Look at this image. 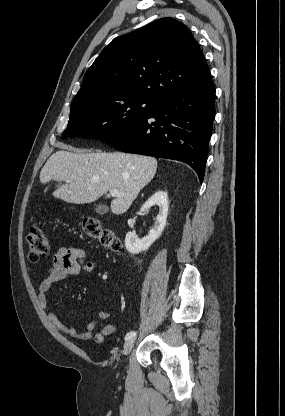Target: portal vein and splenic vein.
Wrapping results in <instances>:
<instances>
[{
	"label": "portal vein and splenic vein",
	"mask_w": 285,
	"mask_h": 416,
	"mask_svg": "<svg viewBox=\"0 0 285 416\" xmlns=\"http://www.w3.org/2000/svg\"><path fill=\"white\" fill-rule=\"evenodd\" d=\"M110 196L115 198V196H124V194H118L117 190H110Z\"/></svg>",
	"instance_id": "18ae733b"
}]
</instances>
